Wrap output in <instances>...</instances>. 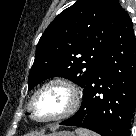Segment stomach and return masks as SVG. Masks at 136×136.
<instances>
[{"instance_id": "stomach-1", "label": "stomach", "mask_w": 136, "mask_h": 136, "mask_svg": "<svg viewBox=\"0 0 136 136\" xmlns=\"http://www.w3.org/2000/svg\"><path fill=\"white\" fill-rule=\"evenodd\" d=\"M49 136H75V135L69 131H61L58 133L50 134Z\"/></svg>"}]
</instances>
